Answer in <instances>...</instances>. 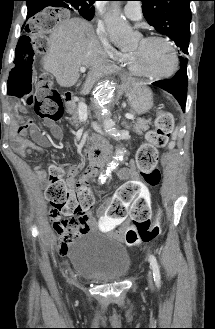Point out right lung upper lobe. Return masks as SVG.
Segmentation results:
<instances>
[{
    "instance_id": "cb5924a9",
    "label": "right lung upper lobe",
    "mask_w": 215,
    "mask_h": 329,
    "mask_svg": "<svg viewBox=\"0 0 215 329\" xmlns=\"http://www.w3.org/2000/svg\"><path fill=\"white\" fill-rule=\"evenodd\" d=\"M40 1L44 2L42 4L44 9L45 7H64L67 0H40ZM78 1H83L84 3L92 6L96 0H78Z\"/></svg>"
}]
</instances>
